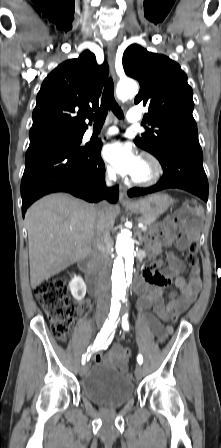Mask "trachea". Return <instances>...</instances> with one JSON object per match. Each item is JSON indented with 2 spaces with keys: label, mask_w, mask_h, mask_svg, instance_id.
Returning <instances> with one entry per match:
<instances>
[{
  "label": "trachea",
  "mask_w": 221,
  "mask_h": 448,
  "mask_svg": "<svg viewBox=\"0 0 221 448\" xmlns=\"http://www.w3.org/2000/svg\"><path fill=\"white\" fill-rule=\"evenodd\" d=\"M109 108L117 118L123 119V111L114 98V83L111 77L105 84L101 105L98 112L91 116V119L94 120V125L102 126L104 124Z\"/></svg>",
  "instance_id": "1"
}]
</instances>
